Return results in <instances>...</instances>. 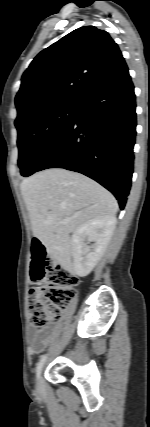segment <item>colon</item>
<instances>
[{
	"instance_id": "colon-1",
	"label": "colon",
	"mask_w": 150,
	"mask_h": 427,
	"mask_svg": "<svg viewBox=\"0 0 150 427\" xmlns=\"http://www.w3.org/2000/svg\"><path fill=\"white\" fill-rule=\"evenodd\" d=\"M31 277L40 284L28 291V318L36 327L56 322L74 297L78 278L60 263L51 259L43 243H31Z\"/></svg>"
}]
</instances>
